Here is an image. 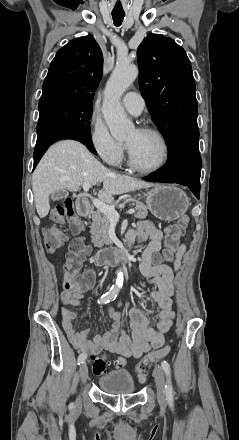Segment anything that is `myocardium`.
<instances>
[{"label": "myocardium", "instance_id": "obj_1", "mask_svg": "<svg viewBox=\"0 0 239 440\" xmlns=\"http://www.w3.org/2000/svg\"><path fill=\"white\" fill-rule=\"evenodd\" d=\"M137 130L140 132H143V133L152 134V135L156 136L161 141V143L163 145V150H164L163 158H162V161L160 162V164L158 166H156L155 168H152V169L142 168L136 163L134 155H133L130 147L126 143L128 164L132 170H134L135 172L141 173V174L150 175V174L158 173L166 166V164L168 163V160L170 158L169 141L166 138V136L157 128L150 127V126H143V127L138 128Z\"/></svg>", "mask_w": 239, "mask_h": 440}]
</instances>
